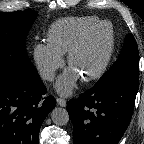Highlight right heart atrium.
<instances>
[{
  "label": "right heart atrium",
  "instance_id": "right-heart-atrium-1",
  "mask_svg": "<svg viewBox=\"0 0 144 144\" xmlns=\"http://www.w3.org/2000/svg\"><path fill=\"white\" fill-rule=\"evenodd\" d=\"M33 60L40 75L52 81L64 65V58L49 43H37L32 51Z\"/></svg>",
  "mask_w": 144,
  "mask_h": 144
}]
</instances>
